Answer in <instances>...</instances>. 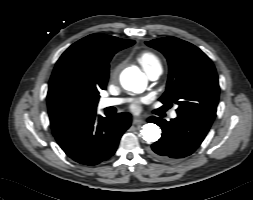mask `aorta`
Instances as JSON below:
<instances>
[{
  "label": "aorta",
  "instance_id": "1",
  "mask_svg": "<svg viewBox=\"0 0 253 200\" xmlns=\"http://www.w3.org/2000/svg\"><path fill=\"white\" fill-rule=\"evenodd\" d=\"M121 84L127 90L141 93L147 86V78L139 70L130 69L122 75ZM141 135L148 143L156 142L161 136V129L154 123H147L143 125Z\"/></svg>",
  "mask_w": 253,
  "mask_h": 200
}]
</instances>
